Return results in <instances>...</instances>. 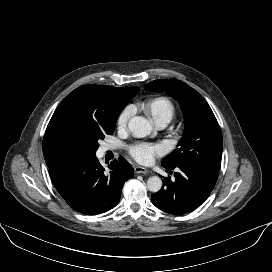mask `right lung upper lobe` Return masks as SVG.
<instances>
[{"mask_svg": "<svg viewBox=\"0 0 272 272\" xmlns=\"http://www.w3.org/2000/svg\"><path fill=\"white\" fill-rule=\"evenodd\" d=\"M138 90V87L84 85L68 94L55 110L44 134L43 154L47 166L65 161L63 153L69 141L107 134Z\"/></svg>", "mask_w": 272, "mask_h": 272, "instance_id": "right-lung-upper-lobe-1", "label": "right lung upper lobe"}]
</instances>
